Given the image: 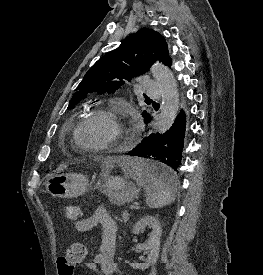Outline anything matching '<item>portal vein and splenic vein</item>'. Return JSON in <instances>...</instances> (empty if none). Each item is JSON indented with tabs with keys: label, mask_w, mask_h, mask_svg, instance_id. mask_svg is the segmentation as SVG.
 I'll return each mask as SVG.
<instances>
[{
	"label": "portal vein and splenic vein",
	"mask_w": 263,
	"mask_h": 275,
	"mask_svg": "<svg viewBox=\"0 0 263 275\" xmlns=\"http://www.w3.org/2000/svg\"><path fill=\"white\" fill-rule=\"evenodd\" d=\"M130 209H135V206H130Z\"/></svg>",
	"instance_id": "obj_1"
}]
</instances>
